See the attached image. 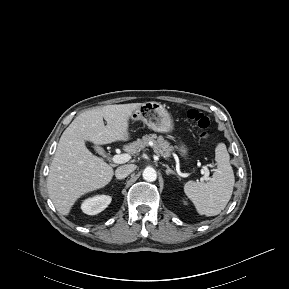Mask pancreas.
Returning <instances> with one entry per match:
<instances>
[{
  "label": "pancreas",
  "mask_w": 289,
  "mask_h": 289,
  "mask_svg": "<svg viewBox=\"0 0 289 289\" xmlns=\"http://www.w3.org/2000/svg\"><path fill=\"white\" fill-rule=\"evenodd\" d=\"M149 143H152L153 151L157 155L169 157L174 150V148L170 146V143L167 140H165L162 136L157 137L154 134L144 135L141 139H137L136 141L126 145L124 150L127 153L134 155L148 146Z\"/></svg>",
  "instance_id": "cf45deb5"
}]
</instances>
